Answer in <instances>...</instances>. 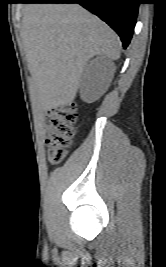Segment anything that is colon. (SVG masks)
Here are the masks:
<instances>
[{
  "mask_svg": "<svg viewBox=\"0 0 166 267\" xmlns=\"http://www.w3.org/2000/svg\"><path fill=\"white\" fill-rule=\"evenodd\" d=\"M77 117V107L74 103H68L47 112L46 122L50 130L47 138V152L52 164H58L65 158L75 135Z\"/></svg>",
  "mask_w": 166,
  "mask_h": 267,
  "instance_id": "1",
  "label": "colon"
}]
</instances>
